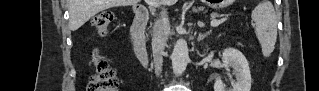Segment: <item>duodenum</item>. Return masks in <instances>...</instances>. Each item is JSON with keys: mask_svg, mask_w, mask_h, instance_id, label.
<instances>
[{"mask_svg": "<svg viewBox=\"0 0 319 91\" xmlns=\"http://www.w3.org/2000/svg\"><path fill=\"white\" fill-rule=\"evenodd\" d=\"M134 14V21L131 28L134 50L139 61L147 67L149 63V54L146 46L145 28L149 19V14L147 9L143 6H136Z\"/></svg>", "mask_w": 319, "mask_h": 91, "instance_id": "1", "label": "duodenum"}]
</instances>
